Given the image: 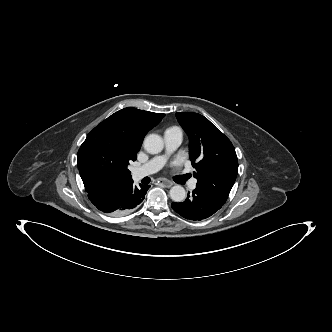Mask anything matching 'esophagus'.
Instances as JSON below:
<instances>
[{"label":"esophagus","mask_w":332,"mask_h":332,"mask_svg":"<svg viewBox=\"0 0 332 332\" xmlns=\"http://www.w3.org/2000/svg\"><path fill=\"white\" fill-rule=\"evenodd\" d=\"M158 183L164 185L165 187H171L173 185V183L167 179L161 178L158 180Z\"/></svg>","instance_id":"obj_1"}]
</instances>
